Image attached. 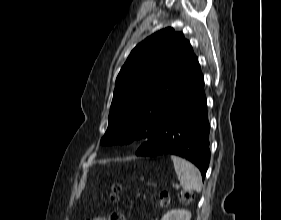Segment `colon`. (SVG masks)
<instances>
[{
    "mask_svg": "<svg viewBox=\"0 0 281 220\" xmlns=\"http://www.w3.org/2000/svg\"><path fill=\"white\" fill-rule=\"evenodd\" d=\"M120 186L118 184H115L112 186L111 191V200L113 202H117L119 200V193H120ZM156 198L160 205L166 206L169 204L170 197L167 192H158L156 193ZM193 199V194L189 191H183L179 194V200L182 203H189ZM108 220H125L124 216L121 213H113Z\"/></svg>",
    "mask_w": 281,
    "mask_h": 220,
    "instance_id": "colon-1",
    "label": "colon"
}]
</instances>
